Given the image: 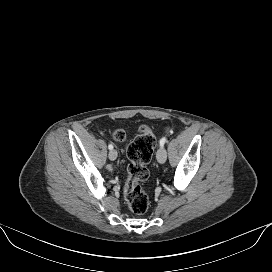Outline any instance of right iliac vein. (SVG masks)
<instances>
[{"label": "right iliac vein", "instance_id": "1", "mask_svg": "<svg viewBox=\"0 0 272 272\" xmlns=\"http://www.w3.org/2000/svg\"><path fill=\"white\" fill-rule=\"evenodd\" d=\"M116 158H117V151L115 149L110 150V152H109V159L113 161Z\"/></svg>", "mask_w": 272, "mask_h": 272}]
</instances>
